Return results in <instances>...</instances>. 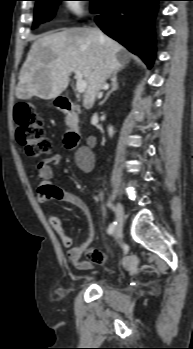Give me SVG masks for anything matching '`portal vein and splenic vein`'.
<instances>
[{"mask_svg": "<svg viewBox=\"0 0 193 349\" xmlns=\"http://www.w3.org/2000/svg\"><path fill=\"white\" fill-rule=\"evenodd\" d=\"M75 77L77 78L76 89L79 93H83L87 88V81L83 79V75L80 71H74Z\"/></svg>", "mask_w": 193, "mask_h": 349, "instance_id": "1", "label": "portal vein and splenic vein"}]
</instances>
